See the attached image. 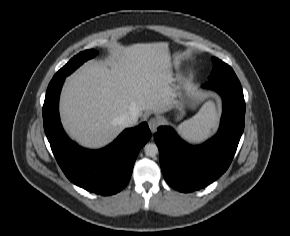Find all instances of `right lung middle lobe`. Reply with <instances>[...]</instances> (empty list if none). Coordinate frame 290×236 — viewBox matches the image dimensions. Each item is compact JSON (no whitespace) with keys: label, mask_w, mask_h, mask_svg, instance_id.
Wrapping results in <instances>:
<instances>
[{"label":"right lung middle lobe","mask_w":290,"mask_h":236,"mask_svg":"<svg viewBox=\"0 0 290 236\" xmlns=\"http://www.w3.org/2000/svg\"><path fill=\"white\" fill-rule=\"evenodd\" d=\"M96 54L97 52L94 51L93 49L79 53L78 55L74 56L63 68H61L54 75V77L68 76L74 70H76L81 64H83L88 59L93 58Z\"/></svg>","instance_id":"dd1d6c3e"}]
</instances>
